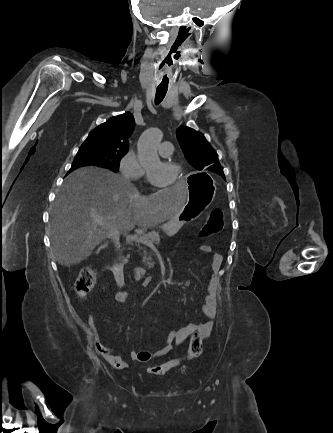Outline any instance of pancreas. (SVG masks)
<instances>
[{
  "label": "pancreas",
  "mask_w": 333,
  "mask_h": 433,
  "mask_svg": "<svg viewBox=\"0 0 333 433\" xmlns=\"http://www.w3.org/2000/svg\"><path fill=\"white\" fill-rule=\"evenodd\" d=\"M146 237L148 238V240L154 244H159L160 242V234L158 231H152L149 232ZM139 247V250H143V262H146L147 260V252L145 251V249L143 247H141L139 244H137Z\"/></svg>",
  "instance_id": "obj_1"
}]
</instances>
